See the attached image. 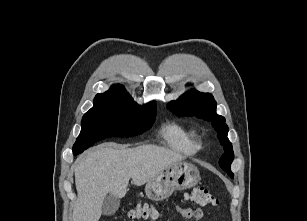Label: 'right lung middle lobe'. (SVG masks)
<instances>
[{"label":"right lung middle lobe","mask_w":307,"mask_h":221,"mask_svg":"<svg viewBox=\"0 0 307 221\" xmlns=\"http://www.w3.org/2000/svg\"><path fill=\"white\" fill-rule=\"evenodd\" d=\"M156 103L97 102L84 114L73 155L108 137H132L141 134L153 123Z\"/></svg>","instance_id":"1"}]
</instances>
